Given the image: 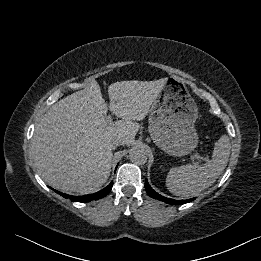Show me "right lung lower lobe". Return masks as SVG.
Wrapping results in <instances>:
<instances>
[{
	"mask_svg": "<svg viewBox=\"0 0 261 261\" xmlns=\"http://www.w3.org/2000/svg\"><path fill=\"white\" fill-rule=\"evenodd\" d=\"M112 186H113V182H111L107 187H105L101 191H98L97 193L86 195V196H82V197L71 196V195H67L65 193L58 192V191H56L54 189L53 190L55 192H57L58 194H60L61 196H63L64 198L70 199L71 201L90 202L92 200H98L100 198L105 197L110 192V190L112 189Z\"/></svg>",
	"mask_w": 261,
	"mask_h": 261,
	"instance_id": "right-lung-lower-lobe-1",
	"label": "right lung lower lobe"
}]
</instances>
